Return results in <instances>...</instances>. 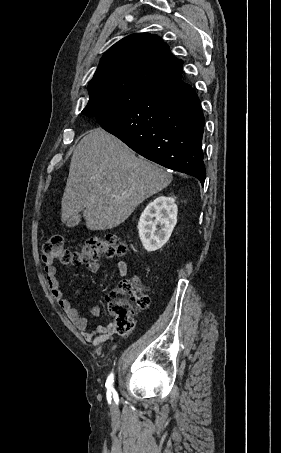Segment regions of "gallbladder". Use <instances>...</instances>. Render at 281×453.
Here are the masks:
<instances>
[{
	"label": "gallbladder",
	"instance_id": "obj_1",
	"mask_svg": "<svg viewBox=\"0 0 281 453\" xmlns=\"http://www.w3.org/2000/svg\"><path fill=\"white\" fill-rule=\"evenodd\" d=\"M80 218H81L80 214H77V216H73L72 220L68 222V227L70 229H75L78 223L80 222Z\"/></svg>",
	"mask_w": 281,
	"mask_h": 453
}]
</instances>
